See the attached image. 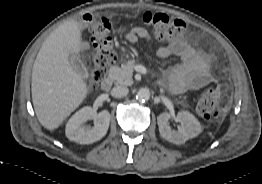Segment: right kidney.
<instances>
[{"label": "right kidney", "mask_w": 262, "mask_h": 184, "mask_svg": "<svg viewBox=\"0 0 262 184\" xmlns=\"http://www.w3.org/2000/svg\"><path fill=\"white\" fill-rule=\"evenodd\" d=\"M95 119L94 126L88 127L85 123ZM110 113L103 110L98 114L89 106L77 111L66 124V136L69 140L79 144H91L102 139L109 128Z\"/></svg>", "instance_id": "right-kidney-1"}]
</instances>
